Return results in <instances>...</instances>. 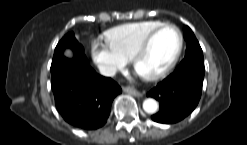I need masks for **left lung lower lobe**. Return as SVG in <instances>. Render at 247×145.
Returning a JSON list of instances; mask_svg holds the SVG:
<instances>
[{
    "instance_id": "0a47b994",
    "label": "left lung lower lobe",
    "mask_w": 247,
    "mask_h": 145,
    "mask_svg": "<svg viewBox=\"0 0 247 145\" xmlns=\"http://www.w3.org/2000/svg\"><path fill=\"white\" fill-rule=\"evenodd\" d=\"M203 79V55L186 56L171 75L147 94L160 102V111L152 119L170 124L188 116L200 100Z\"/></svg>"
}]
</instances>
